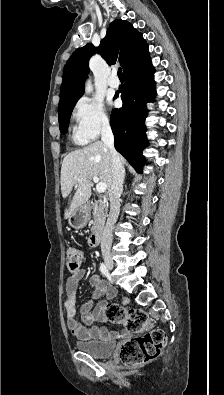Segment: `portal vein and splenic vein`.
<instances>
[{"instance_id": "obj_1", "label": "portal vein and splenic vein", "mask_w": 224, "mask_h": 395, "mask_svg": "<svg viewBox=\"0 0 224 395\" xmlns=\"http://www.w3.org/2000/svg\"><path fill=\"white\" fill-rule=\"evenodd\" d=\"M78 181H79V179H78ZM93 181H94L95 183H97V184H96V190H97V192H99V193H104V192L106 191L107 185H106L105 183L99 182V178H98L97 176H94V177H93Z\"/></svg>"}]
</instances>
